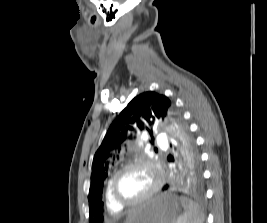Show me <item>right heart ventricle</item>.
Segmentation results:
<instances>
[{
	"mask_svg": "<svg viewBox=\"0 0 267 223\" xmlns=\"http://www.w3.org/2000/svg\"><path fill=\"white\" fill-rule=\"evenodd\" d=\"M104 198H105L106 207L112 214H118L122 212L123 207L118 206L111 197V194L109 191V181L106 184Z\"/></svg>",
	"mask_w": 267,
	"mask_h": 223,
	"instance_id": "obj_1",
	"label": "right heart ventricle"
}]
</instances>
